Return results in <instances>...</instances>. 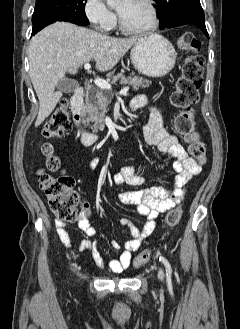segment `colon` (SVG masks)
Returning <instances> with one entry per match:
<instances>
[{
    "label": "colon",
    "mask_w": 240,
    "mask_h": 329,
    "mask_svg": "<svg viewBox=\"0 0 240 329\" xmlns=\"http://www.w3.org/2000/svg\"><path fill=\"white\" fill-rule=\"evenodd\" d=\"M179 48L189 54L182 65V73L177 80L176 87L171 96L172 104L182 109L175 121V127L184 137L191 156L200 164L206 159V147L196 127L195 114L191 106L199 100V90L203 82V57L198 54L201 43L192 33H184L179 39ZM70 127V114L68 99H60L52 111L44 128L47 138L62 137ZM41 150L47 155L46 166L52 172L60 171V160L51 154L52 147L48 143L41 146ZM40 188L46 195L48 205L58 221L74 222L77 219L78 207L81 201L80 194L74 188V180L71 177L53 176L41 172L38 174ZM182 216L181 208L171 209L166 217L167 227L176 226ZM150 251H142L133 261V266L139 268L150 259Z\"/></svg>",
    "instance_id": "colon-1"
}]
</instances>
